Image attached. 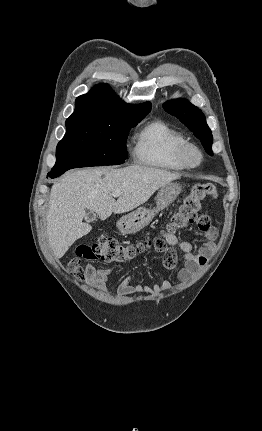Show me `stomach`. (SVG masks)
Listing matches in <instances>:
<instances>
[{
  "label": "stomach",
  "instance_id": "stomach-1",
  "mask_svg": "<svg viewBox=\"0 0 262 431\" xmlns=\"http://www.w3.org/2000/svg\"><path fill=\"white\" fill-rule=\"evenodd\" d=\"M182 187L178 183H168L162 186L155 198L156 207H139L135 211L122 216L117 221V228L123 234H134L146 227L155 215L168 207L179 196Z\"/></svg>",
  "mask_w": 262,
  "mask_h": 431
}]
</instances>
